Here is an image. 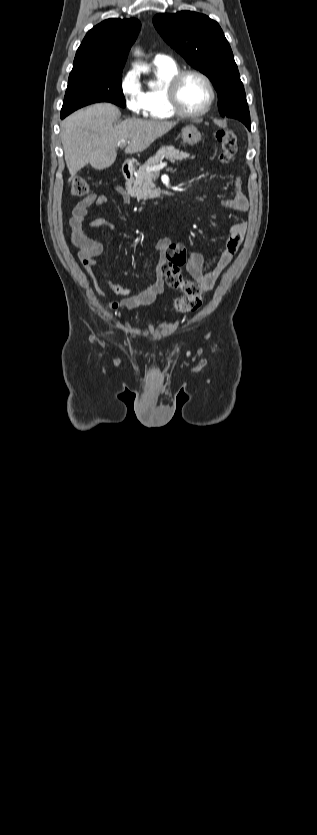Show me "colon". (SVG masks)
<instances>
[{
    "mask_svg": "<svg viewBox=\"0 0 317 835\" xmlns=\"http://www.w3.org/2000/svg\"><path fill=\"white\" fill-rule=\"evenodd\" d=\"M216 139L222 147L221 159L224 162H232L237 148V139L230 129H221L216 132ZM90 192L89 183L78 177L71 185L72 197H83ZM182 262L180 260H166L159 264L158 271L163 275L167 286L179 290L182 296L174 301V309L180 313L197 310L202 301V288L196 282L184 278L182 273Z\"/></svg>",
    "mask_w": 317,
    "mask_h": 835,
    "instance_id": "1",
    "label": "colon"
}]
</instances>
